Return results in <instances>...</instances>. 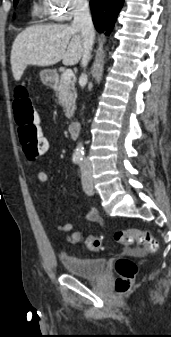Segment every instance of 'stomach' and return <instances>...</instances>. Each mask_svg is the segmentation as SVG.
<instances>
[{
	"mask_svg": "<svg viewBox=\"0 0 171 337\" xmlns=\"http://www.w3.org/2000/svg\"><path fill=\"white\" fill-rule=\"evenodd\" d=\"M40 78L45 84H52L57 79V74L54 70L44 69L40 72Z\"/></svg>",
	"mask_w": 171,
	"mask_h": 337,
	"instance_id": "1",
	"label": "stomach"
}]
</instances>
